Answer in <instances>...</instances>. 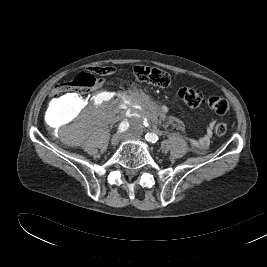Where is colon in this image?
Wrapping results in <instances>:
<instances>
[{
	"label": "colon",
	"instance_id": "colon-1",
	"mask_svg": "<svg viewBox=\"0 0 267 267\" xmlns=\"http://www.w3.org/2000/svg\"><path fill=\"white\" fill-rule=\"evenodd\" d=\"M114 73L110 66H96L88 72H81L67 82L57 84L52 92V98L58 99L73 92L83 94L94 88L98 81L96 75L107 76ZM132 77L144 84L167 88L172 84L171 76L164 70L151 66H136L131 71ZM179 97L190 108H198L202 105L208 106L218 115H224L229 110L228 101L221 96H205L201 91L191 87H182L178 91ZM72 99H75L74 97ZM227 126L217 123L215 133L218 136L225 135Z\"/></svg>",
	"mask_w": 267,
	"mask_h": 267
}]
</instances>
